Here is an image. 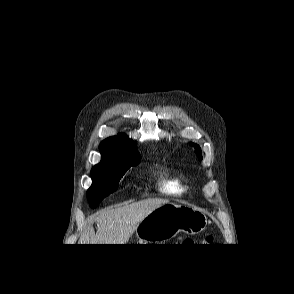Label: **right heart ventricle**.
<instances>
[{
	"label": "right heart ventricle",
	"mask_w": 294,
	"mask_h": 294,
	"mask_svg": "<svg viewBox=\"0 0 294 294\" xmlns=\"http://www.w3.org/2000/svg\"><path fill=\"white\" fill-rule=\"evenodd\" d=\"M158 190L167 195H182L187 192L188 185L181 176L167 172L158 182Z\"/></svg>",
	"instance_id": "right-heart-ventricle-1"
}]
</instances>
